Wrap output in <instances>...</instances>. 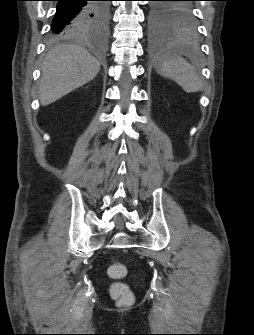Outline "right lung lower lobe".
<instances>
[{"mask_svg": "<svg viewBox=\"0 0 254 335\" xmlns=\"http://www.w3.org/2000/svg\"><path fill=\"white\" fill-rule=\"evenodd\" d=\"M56 13L52 20L51 35L58 36L79 30L82 36L91 33V25L98 18V0H56Z\"/></svg>", "mask_w": 254, "mask_h": 335, "instance_id": "98d812e1", "label": "right lung lower lobe"}]
</instances>
